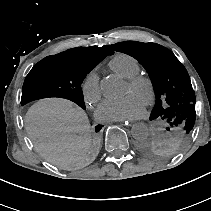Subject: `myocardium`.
Instances as JSON below:
<instances>
[{
  "mask_svg": "<svg viewBox=\"0 0 211 211\" xmlns=\"http://www.w3.org/2000/svg\"><path fill=\"white\" fill-rule=\"evenodd\" d=\"M127 84L133 90L145 89L147 93V100L144 103L147 107L154 105L156 100V89L151 78L137 74L129 79H127Z\"/></svg>",
  "mask_w": 211,
  "mask_h": 211,
  "instance_id": "myocardium-1",
  "label": "myocardium"
}]
</instances>
